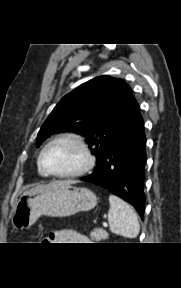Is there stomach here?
<instances>
[{"label": "stomach", "instance_id": "1", "mask_svg": "<svg viewBox=\"0 0 181 288\" xmlns=\"http://www.w3.org/2000/svg\"><path fill=\"white\" fill-rule=\"evenodd\" d=\"M72 184L55 181L36 192L24 193L14 209L12 226L23 230L30 228L42 215L68 217L92 210L97 204L96 195Z\"/></svg>", "mask_w": 181, "mask_h": 288}]
</instances>
